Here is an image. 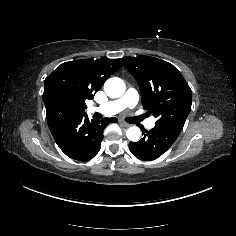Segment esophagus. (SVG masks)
I'll list each match as a JSON object with an SVG mask.
<instances>
[{"mask_svg":"<svg viewBox=\"0 0 236 236\" xmlns=\"http://www.w3.org/2000/svg\"><path fill=\"white\" fill-rule=\"evenodd\" d=\"M119 123L123 124L125 127H129L130 126L129 123H127V122H125L123 120H119Z\"/></svg>","mask_w":236,"mask_h":236,"instance_id":"obj_1","label":"esophagus"}]
</instances>
